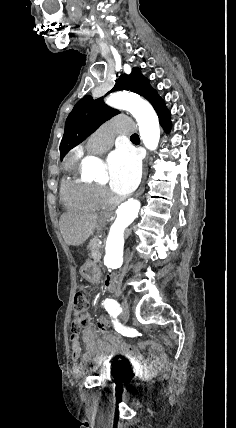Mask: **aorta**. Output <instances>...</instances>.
I'll use <instances>...</instances> for the list:
<instances>
[{"label": "aorta", "instance_id": "1", "mask_svg": "<svg viewBox=\"0 0 236 428\" xmlns=\"http://www.w3.org/2000/svg\"><path fill=\"white\" fill-rule=\"evenodd\" d=\"M106 103L114 108L127 110L136 119L141 139L149 150H156L160 139L158 116L153 107L140 96L119 91L111 94ZM85 167L93 169V176L102 178L103 172L98 167L95 157H87ZM140 210V202L129 199L119 206L116 219L112 224L106 241L104 264L111 269H117L123 264L124 231L136 219Z\"/></svg>", "mask_w": 236, "mask_h": 428}]
</instances>
